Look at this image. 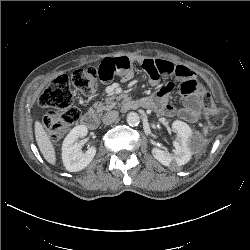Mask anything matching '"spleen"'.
I'll return each instance as SVG.
<instances>
[{
  "label": "spleen",
  "mask_w": 250,
  "mask_h": 250,
  "mask_svg": "<svg viewBox=\"0 0 250 250\" xmlns=\"http://www.w3.org/2000/svg\"><path fill=\"white\" fill-rule=\"evenodd\" d=\"M203 133H204V135H206L208 133V128L207 127L204 128Z\"/></svg>",
  "instance_id": "spleen-1"
}]
</instances>
